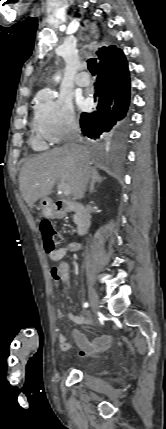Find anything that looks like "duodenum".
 I'll return each mask as SVG.
<instances>
[{
    "mask_svg": "<svg viewBox=\"0 0 166 429\" xmlns=\"http://www.w3.org/2000/svg\"><path fill=\"white\" fill-rule=\"evenodd\" d=\"M54 210L59 216L74 212L76 214L77 234H87L91 224V215L84 205L67 200H57L54 203Z\"/></svg>",
    "mask_w": 166,
    "mask_h": 429,
    "instance_id": "obj_1",
    "label": "duodenum"
}]
</instances>
